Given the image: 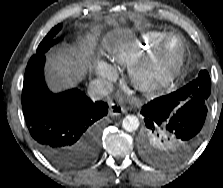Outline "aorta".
Returning a JSON list of instances; mask_svg holds the SVG:
<instances>
[{"instance_id":"762f6f07","label":"aorta","mask_w":223,"mask_h":188,"mask_svg":"<svg viewBox=\"0 0 223 188\" xmlns=\"http://www.w3.org/2000/svg\"><path fill=\"white\" fill-rule=\"evenodd\" d=\"M122 127L128 132L136 131L139 128V120L134 115H127L122 121Z\"/></svg>"}]
</instances>
